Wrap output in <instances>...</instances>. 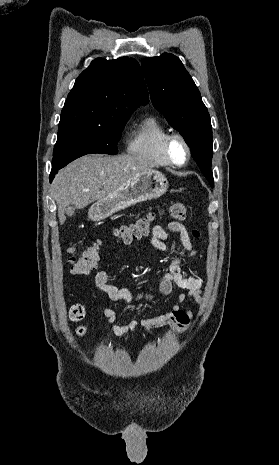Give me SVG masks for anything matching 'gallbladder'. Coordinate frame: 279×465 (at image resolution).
Segmentation results:
<instances>
[{
	"label": "gallbladder",
	"mask_w": 279,
	"mask_h": 465,
	"mask_svg": "<svg viewBox=\"0 0 279 465\" xmlns=\"http://www.w3.org/2000/svg\"><path fill=\"white\" fill-rule=\"evenodd\" d=\"M66 212L71 216L74 213V209L72 207H68Z\"/></svg>",
	"instance_id": "1"
}]
</instances>
